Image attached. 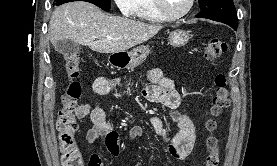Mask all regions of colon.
Masks as SVG:
<instances>
[{
    "instance_id": "1",
    "label": "colon",
    "mask_w": 277,
    "mask_h": 166,
    "mask_svg": "<svg viewBox=\"0 0 277 166\" xmlns=\"http://www.w3.org/2000/svg\"><path fill=\"white\" fill-rule=\"evenodd\" d=\"M226 42L218 38H208L203 44V56L206 60H215L227 51ZM65 69L68 82L62 95V109L58 113L56 129L58 132V145L61 154L62 166H91L87 164L75 141L77 124L75 112L78 101L82 95V87L79 82V58L76 54L65 56ZM230 103L227 80L223 74H219L215 80V91L212 97L210 114L206 122L209 136L206 141L207 155L205 166H218L219 142L215 136L217 119L224 113Z\"/></svg>"
}]
</instances>
